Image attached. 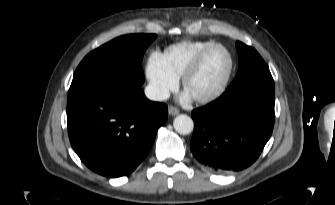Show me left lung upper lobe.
I'll return each mask as SVG.
<instances>
[{
  "instance_id": "obj_1",
  "label": "left lung upper lobe",
  "mask_w": 335,
  "mask_h": 205,
  "mask_svg": "<svg viewBox=\"0 0 335 205\" xmlns=\"http://www.w3.org/2000/svg\"><path fill=\"white\" fill-rule=\"evenodd\" d=\"M236 47L239 55V70L227 89L259 86L275 90L269 68L258 52L239 41L236 42Z\"/></svg>"
}]
</instances>
